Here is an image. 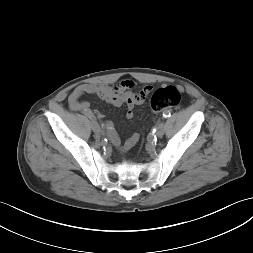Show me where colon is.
I'll return each mask as SVG.
<instances>
[{"mask_svg":"<svg viewBox=\"0 0 253 253\" xmlns=\"http://www.w3.org/2000/svg\"><path fill=\"white\" fill-rule=\"evenodd\" d=\"M181 100L180 91L174 86L157 89L151 97V108L154 113L178 106Z\"/></svg>","mask_w":253,"mask_h":253,"instance_id":"5ec220e1","label":"colon"}]
</instances>
